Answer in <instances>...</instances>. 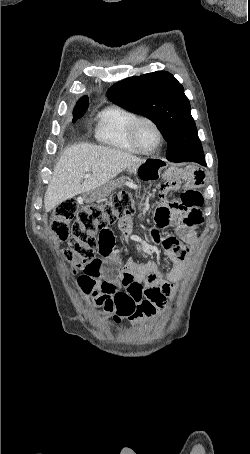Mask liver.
<instances>
[{
  "mask_svg": "<svg viewBox=\"0 0 250 454\" xmlns=\"http://www.w3.org/2000/svg\"><path fill=\"white\" fill-rule=\"evenodd\" d=\"M144 161L128 152L104 146L82 143L68 147L57 162L45 193L46 212L76 195L107 185L126 168ZM85 174L90 176L85 178Z\"/></svg>",
  "mask_w": 250,
  "mask_h": 454,
  "instance_id": "6515ba94",
  "label": "liver"
}]
</instances>
